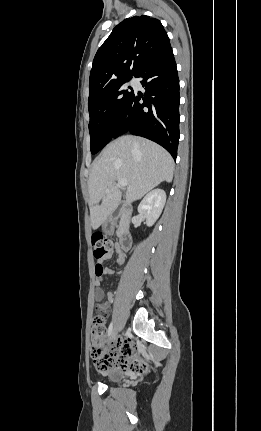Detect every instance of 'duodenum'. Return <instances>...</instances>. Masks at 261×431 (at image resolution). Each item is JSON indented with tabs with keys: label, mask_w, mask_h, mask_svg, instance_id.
Wrapping results in <instances>:
<instances>
[{
	"label": "duodenum",
	"mask_w": 261,
	"mask_h": 431,
	"mask_svg": "<svg viewBox=\"0 0 261 431\" xmlns=\"http://www.w3.org/2000/svg\"><path fill=\"white\" fill-rule=\"evenodd\" d=\"M120 211L123 216V221L119 230V246L122 251H128L131 247V235L129 232L130 211L127 207L121 206ZM114 218H110L106 222V227L110 229L113 226Z\"/></svg>",
	"instance_id": "410a0bca"
}]
</instances>
